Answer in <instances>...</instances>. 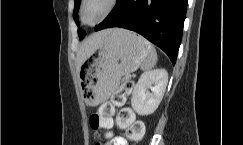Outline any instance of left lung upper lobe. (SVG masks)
Listing matches in <instances>:
<instances>
[{"label":"left lung upper lobe","instance_id":"5c2ea615","mask_svg":"<svg viewBox=\"0 0 243 145\" xmlns=\"http://www.w3.org/2000/svg\"><path fill=\"white\" fill-rule=\"evenodd\" d=\"M74 1H75V6H74L73 18H74L77 26H79L80 24H79V21H78V18H77V13H78L79 6H80V0H74ZM122 1L123 0H117V3H116L113 10H115L121 4ZM85 34L86 33H85L84 30H82L80 28L78 29V36H79L80 39H82L85 36Z\"/></svg>","mask_w":243,"mask_h":145}]
</instances>
